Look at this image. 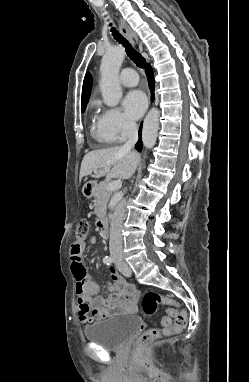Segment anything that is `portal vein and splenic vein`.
<instances>
[{
  "label": "portal vein and splenic vein",
  "mask_w": 249,
  "mask_h": 382,
  "mask_svg": "<svg viewBox=\"0 0 249 382\" xmlns=\"http://www.w3.org/2000/svg\"><path fill=\"white\" fill-rule=\"evenodd\" d=\"M121 185H122V183L119 180L111 181L107 184V189L111 190V191L117 190L121 187Z\"/></svg>",
  "instance_id": "portal-vein-and-splenic-vein-1"
}]
</instances>
